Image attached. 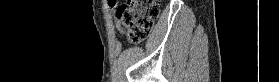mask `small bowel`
Returning <instances> with one entry per match:
<instances>
[{"instance_id": "obj_1", "label": "small bowel", "mask_w": 279, "mask_h": 82, "mask_svg": "<svg viewBox=\"0 0 279 82\" xmlns=\"http://www.w3.org/2000/svg\"><path fill=\"white\" fill-rule=\"evenodd\" d=\"M117 5H118L117 1H109L108 2V7H110L111 9H115L117 7ZM115 26H116V30L118 31V33L123 35L124 34V29L121 26V24L118 22L117 18H115Z\"/></svg>"}]
</instances>
